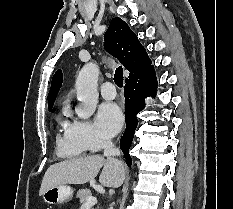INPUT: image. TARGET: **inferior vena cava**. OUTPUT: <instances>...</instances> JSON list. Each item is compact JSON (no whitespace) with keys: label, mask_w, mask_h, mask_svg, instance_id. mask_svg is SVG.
Instances as JSON below:
<instances>
[{"label":"inferior vena cava","mask_w":233,"mask_h":209,"mask_svg":"<svg viewBox=\"0 0 233 209\" xmlns=\"http://www.w3.org/2000/svg\"><path fill=\"white\" fill-rule=\"evenodd\" d=\"M102 147L104 149V156L108 159H114V156L120 155V150L110 140H103Z\"/></svg>","instance_id":"inferior-vena-cava-1"}]
</instances>
